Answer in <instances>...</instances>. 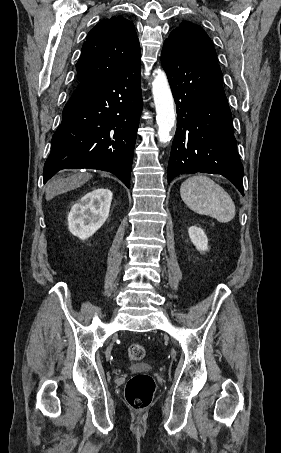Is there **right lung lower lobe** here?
<instances>
[{
    "label": "right lung lower lobe",
    "instance_id": "right-lung-lower-lobe-1",
    "mask_svg": "<svg viewBox=\"0 0 281 453\" xmlns=\"http://www.w3.org/2000/svg\"><path fill=\"white\" fill-rule=\"evenodd\" d=\"M140 57L117 76L78 83L63 109L44 165V183L59 170L91 168L116 175L130 188L142 111Z\"/></svg>",
    "mask_w": 281,
    "mask_h": 453
}]
</instances>
